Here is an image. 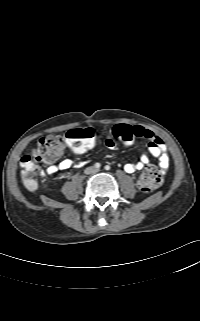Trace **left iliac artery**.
Listing matches in <instances>:
<instances>
[{"mask_svg": "<svg viewBox=\"0 0 200 321\" xmlns=\"http://www.w3.org/2000/svg\"><path fill=\"white\" fill-rule=\"evenodd\" d=\"M110 169V166L109 165H106L105 166V170H109Z\"/></svg>", "mask_w": 200, "mask_h": 321, "instance_id": "obj_1", "label": "left iliac artery"}]
</instances>
